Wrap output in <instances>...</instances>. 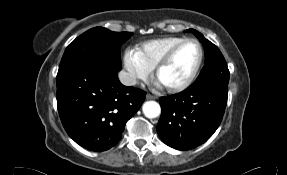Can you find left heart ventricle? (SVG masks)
I'll return each instance as SVG.
<instances>
[{
    "label": "left heart ventricle",
    "mask_w": 287,
    "mask_h": 175,
    "mask_svg": "<svg viewBox=\"0 0 287 175\" xmlns=\"http://www.w3.org/2000/svg\"><path fill=\"white\" fill-rule=\"evenodd\" d=\"M199 59V48L196 43L185 44L174 56L173 60L160 74V82L164 85H177L185 81L194 70Z\"/></svg>",
    "instance_id": "b2bd125f"
}]
</instances>
